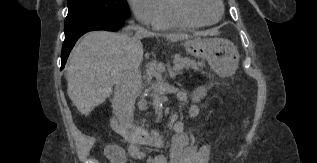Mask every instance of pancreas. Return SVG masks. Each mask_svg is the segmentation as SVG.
<instances>
[{"label": "pancreas", "instance_id": "1", "mask_svg": "<svg viewBox=\"0 0 317 163\" xmlns=\"http://www.w3.org/2000/svg\"><path fill=\"white\" fill-rule=\"evenodd\" d=\"M174 63L181 65L185 69H193L194 71H199L204 66L202 62H197L193 59L187 57H181L180 55H175Z\"/></svg>", "mask_w": 317, "mask_h": 163}]
</instances>
